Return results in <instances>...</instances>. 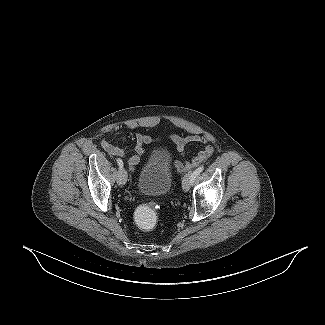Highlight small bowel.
I'll list each match as a JSON object with an SVG mask.
<instances>
[{
  "label": "small bowel",
  "mask_w": 325,
  "mask_h": 325,
  "mask_svg": "<svg viewBox=\"0 0 325 325\" xmlns=\"http://www.w3.org/2000/svg\"><path fill=\"white\" fill-rule=\"evenodd\" d=\"M171 139L173 140V142L176 144L177 148L181 152H184L186 145L189 143H205L204 137H202L200 135H191L186 138L172 136ZM152 141H153V138L149 135H146L144 133L136 134V146H135L136 154H133L126 159V162L131 170H134V168L140 163L142 157L145 155L144 145L151 143ZM101 146L110 155H113V156H122L123 155L122 149L119 148L116 144H114L108 140H103L101 142ZM212 152H213L212 147L210 145L205 144L193 159H191L190 161H186L184 164L177 162L176 167L179 169L193 168V167L197 166L199 163H201L202 161L209 158L211 156Z\"/></svg>",
  "instance_id": "small-bowel-1"
}]
</instances>
